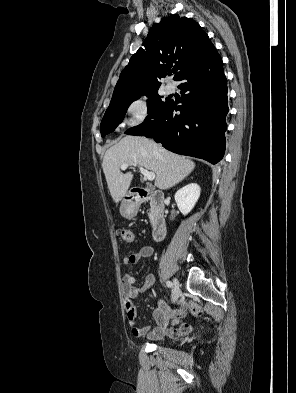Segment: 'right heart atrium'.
<instances>
[{
	"label": "right heart atrium",
	"instance_id": "right-heart-atrium-1",
	"mask_svg": "<svg viewBox=\"0 0 296 393\" xmlns=\"http://www.w3.org/2000/svg\"><path fill=\"white\" fill-rule=\"evenodd\" d=\"M127 123L134 127L145 122L150 115V104L144 98L133 100L126 109Z\"/></svg>",
	"mask_w": 296,
	"mask_h": 393
}]
</instances>
